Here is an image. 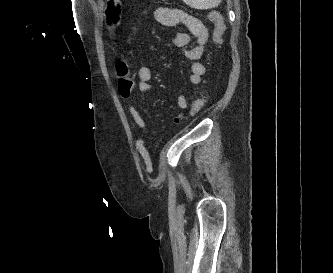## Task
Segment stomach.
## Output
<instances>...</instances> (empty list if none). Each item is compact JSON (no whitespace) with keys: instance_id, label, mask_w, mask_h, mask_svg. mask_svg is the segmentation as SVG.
Here are the masks:
<instances>
[{"instance_id":"1","label":"stomach","mask_w":333,"mask_h":273,"mask_svg":"<svg viewBox=\"0 0 333 273\" xmlns=\"http://www.w3.org/2000/svg\"><path fill=\"white\" fill-rule=\"evenodd\" d=\"M121 0H108L106 3V14L104 16V23H125V16H115L118 14V4Z\"/></svg>"}]
</instances>
